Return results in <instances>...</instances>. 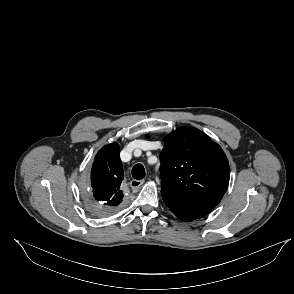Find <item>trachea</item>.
<instances>
[{
  "mask_svg": "<svg viewBox=\"0 0 294 294\" xmlns=\"http://www.w3.org/2000/svg\"><path fill=\"white\" fill-rule=\"evenodd\" d=\"M132 176L134 179L136 180H141L145 177V169L144 166L142 164H136L133 168H132Z\"/></svg>",
  "mask_w": 294,
  "mask_h": 294,
  "instance_id": "3493384b",
  "label": "trachea"
}]
</instances>
